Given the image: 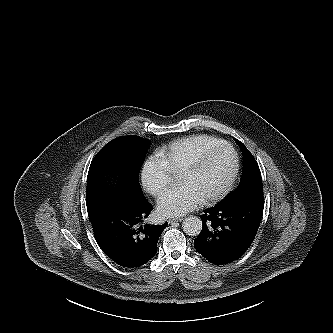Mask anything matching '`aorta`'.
Masks as SVG:
<instances>
[{
  "label": "aorta",
  "instance_id": "aorta-1",
  "mask_svg": "<svg viewBox=\"0 0 333 333\" xmlns=\"http://www.w3.org/2000/svg\"><path fill=\"white\" fill-rule=\"evenodd\" d=\"M183 231L189 236H198L202 230V221L197 216H188L183 220Z\"/></svg>",
  "mask_w": 333,
  "mask_h": 333
}]
</instances>
